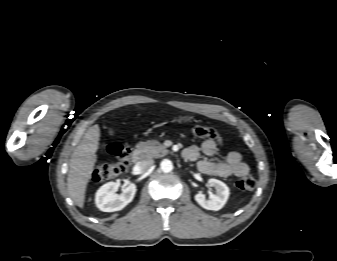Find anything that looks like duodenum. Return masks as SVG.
I'll return each instance as SVG.
<instances>
[{
	"mask_svg": "<svg viewBox=\"0 0 337 261\" xmlns=\"http://www.w3.org/2000/svg\"><path fill=\"white\" fill-rule=\"evenodd\" d=\"M141 157H142V155H141L140 151L135 150V151H133V153L131 155V160H132L133 163H137L141 160Z\"/></svg>",
	"mask_w": 337,
	"mask_h": 261,
	"instance_id": "duodenum-1",
	"label": "duodenum"
}]
</instances>
